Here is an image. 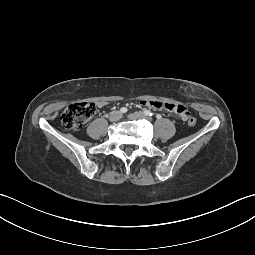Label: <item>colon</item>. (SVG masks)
Here are the masks:
<instances>
[{
    "instance_id": "obj_1",
    "label": "colon",
    "mask_w": 255,
    "mask_h": 255,
    "mask_svg": "<svg viewBox=\"0 0 255 255\" xmlns=\"http://www.w3.org/2000/svg\"><path fill=\"white\" fill-rule=\"evenodd\" d=\"M96 111L94 103L76 102L66 107L62 113L61 121L67 129L78 130L96 114ZM186 122L193 126L196 123V118L191 116Z\"/></svg>"
}]
</instances>
